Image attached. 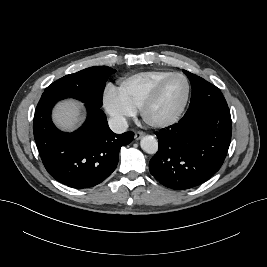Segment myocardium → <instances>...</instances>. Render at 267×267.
<instances>
[{"label": "myocardium", "instance_id": "f54148a6", "mask_svg": "<svg viewBox=\"0 0 267 267\" xmlns=\"http://www.w3.org/2000/svg\"><path fill=\"white\" fill-rule=\"evenodd\" d=\"M180 77L182 78L186 83V93L185 97L183 99L182 104L177 109V111L172 114L171 116L164 118V119H152L149 115L151 108L154 106V104L157 102L164 86L173 78ZM190 92H191V84L189 79L182 73H171L170 75L163 78L161 81L158 82V84L154 87L152 92L149 94V96L146 98V100L143 102V104L140 107V114L142 119L146 124H148L151 127L155 128H165L168 126H171L178 122L180 118L182 117L189 98H190Z\"/></svg>", "mask_w": 267, "mask_h": 267}]
</instances>
